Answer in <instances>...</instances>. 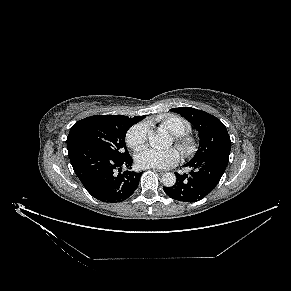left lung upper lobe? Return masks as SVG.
Listing matches in <instances>:
<instances>
[{"label":"left lung upper lobe","instance_id":"obj_1","mask_svg":"<svg viewBox=\"0 0 291 291\" xmlns=\"http://www.w3.org/2000/svg\"><path fill=\"white\" fill-rule=\"evenodd\" d=\"M171 110L186 118L199 132V149L190 162L217 154L229 156L231 140L225 125L218 118L191 107H179Z\"/></svg>","mask_w":291,"mask_h":291}]
</instances>
